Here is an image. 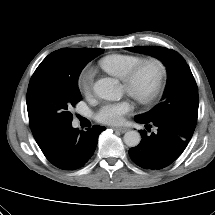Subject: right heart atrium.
<instances>
[{"label":"right heart atrium","mask_w":215,"mask_h":215,"mask_svg":"<svg viewBox=\"0 0 215 215\" xmlns=\"http://www.w3.org/2000/svg\"><path fill=\"white\" fill-rule=\"evenodd\" d=\"M93 86V72L91 70L84 71L78 78L79 91L85 95H90Z\"/></svg>","instance_id":"obj_1"}]
</instances>
